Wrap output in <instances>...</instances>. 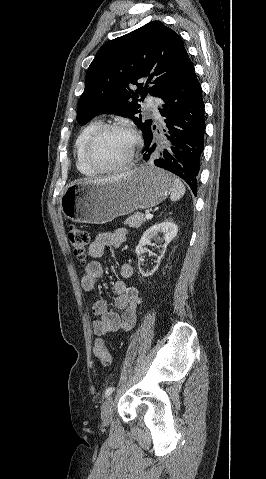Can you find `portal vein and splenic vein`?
Returning <instances> with one entry per match:
<instances>
[{
	"label": "portal vein and splenic vein",
	"instance_id": "18ae733b",
	"mask_svg": "<svg viewBox=\"0 0 266 479\" xmlns=\"http://www.w3.org/2000/svg\"><path fill=\"white\" fill-rule=\"evenodd\" d=\"M145 218H146V219H152V218H153V215H152V214H146V215H145Z\"/></svg>",
	"mask_w": 266,
	"mask_h": 479
}]
</instances>
